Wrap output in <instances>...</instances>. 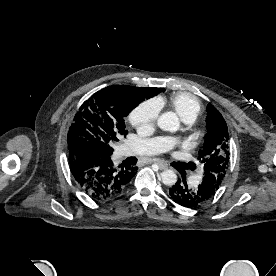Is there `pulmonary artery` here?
Here are the masks:
<instances>
[{
  "label": "pulmonary artery",
  "mask_w": 276,
  "mask_h": 276,
  "mask_svg": "<svg viewBox=\"0 0 276 276\" xmlns=\"http://www.w3.org/2000/svg\"><path fill=\"white\" fill-rule=\"evenodd\" d=\"M186 123H191L187 120ZM175 138H154L144 139L138 142H130L125 145L124 153H137L145 155H154L163 153L176 144Z\"/></svg>",
  "instance_id": "pulmonary-artery-1"
}]
</instances>
